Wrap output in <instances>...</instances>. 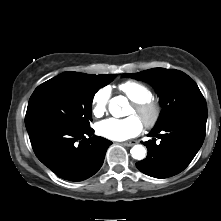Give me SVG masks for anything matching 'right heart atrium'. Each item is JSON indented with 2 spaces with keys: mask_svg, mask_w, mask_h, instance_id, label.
I'll return each mask as SVG.
<instances>
[{
  "mask_svg": "<svg viewBox=\"0 0 221 221\" xmlns=\"http://www.w3.org/2000/svg\"><path fill=\"white\" fill-rule=\"evenodd\" d=\"M111 90L108 86L98 89L92 98V113L96 117L102 116L110 100Z\"/></svg>",
  "mask_w": 221,
  "mask_h": 221,
  "instance_id": "right-heart-atrium-1",
  "label": "right heart atrium"
}]
</instances>
